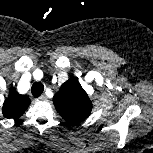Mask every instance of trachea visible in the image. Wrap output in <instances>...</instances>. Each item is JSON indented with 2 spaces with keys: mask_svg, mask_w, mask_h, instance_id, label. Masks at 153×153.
<instances>
[{
  "mask_svg": "<svg viewBox=\"0 0 153 153\" xmlns=\"http://www.w3.org/2000/svg\"><path fill=\"white\" fill-rule=\"evenodd\" d=\"M44 91V85L40 82H36L31 87V92L34 97H39Z\"/></svg>",
  "mask_w": 153,
  "mask_h": 153,
  "instance_id": "3493384b",
  "label": "trachea"
}]
</instances>
